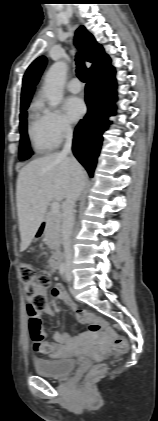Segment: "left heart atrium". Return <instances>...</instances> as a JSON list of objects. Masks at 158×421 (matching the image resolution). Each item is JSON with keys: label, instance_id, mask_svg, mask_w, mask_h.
Masks as SVG:
<instances>
[{"label": "left heart atrium", "instance_id": "39dd6f15", "mask_svg": "<svg viewBox=\"0 0 158 421\" xmlns=\"http://www.w3.org/2000/svg\"><path fill=\"white\" fill-rule=\"evenodd\" d=\"M64 109L70 120L74 122L78 121L86 112L84 101L77 96L67 98L64 103Z\"/></svg>", "mask_w": 158, "mask_h": 421}]
</instances>
